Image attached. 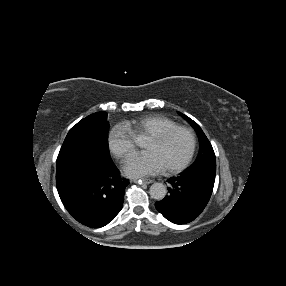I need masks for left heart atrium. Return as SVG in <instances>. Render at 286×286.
<instances>
[{
	"mask_svg": "<svg viewBox=\"0 0 286 286\" xmlns=\"http://www.w3.org/2000/svg\"><path fill=\"white\" fill-rule=\"evenodd\" d=\"M124 172L131 177H143L163 169L156 156L150 151L131 155L124 164Z\"/></svg>",
	"mask_w": 286,
	"mask_h": 286,
	"instance_id": "left-heart-atrium-1",
	"label": "left heart atrium"
}]
</instances>
